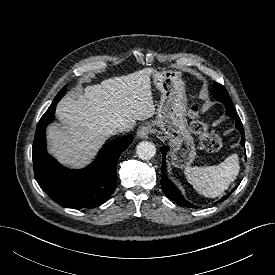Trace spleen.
I'll list each match as a JSON object with an SVG mask.
<instances>
[{
	"mask_svg": "<svg viewBox=\"0 0 275 275\" xmlns=\"http://www.w3.org/2000/svg\"><path fill=\"white\" fill-rule=\"evenodd\" d=\"M237 154H232L217 166L185 168L188 182L201 195L209 198L221 196L239 174Z\"/></svg>",
	"mask_w": 275,
	"mask_h": 275,
	"instance_id": "3e777b00",
	"label": "spleen"
}]
</instances>
